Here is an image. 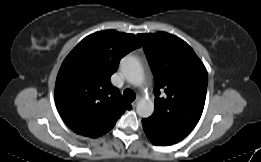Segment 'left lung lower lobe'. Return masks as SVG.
Returning <instances> with one entry per match:
<instances>
[{"instance_id": "0a47b994", "label": "left lung lower lobe", "mask_w": 261, "mask_h": 162, "mask_svg": "<svg viewBox=\"0 0 261 162\" xmlns=\"http://www.w3.org/2000/svg\"><path fill=\"white\" fill-rule=\"evenodd\" d=\"M143 129L149 140L157 146H167L175 144L182 139L184 135L173 132L167 128L158 125L156 122L149 118L142 120Z\"/></svg>"}]
</instances>
